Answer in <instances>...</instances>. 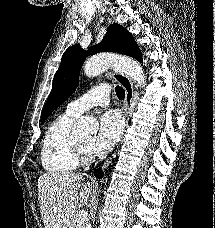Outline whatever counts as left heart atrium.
Wrapping results in <instances>:
<instances>
[{"label": "left heart atrium", "instance_id": "left-heart-atrium-1", "mask_svg": "<svg viewBox=\"0 0 215 228\" xmlns=\"http://www.w3.org/2000/svg\"><path fill=\"white\" fill-rule=\"evenodd\" d=\"M124 122L121 115L110 110L105 112L99 119V130L93 148L97 152L113 147L121 138Z\"/></svg>", "mask_w": 215, "mask_h": 228}]
</instances>
